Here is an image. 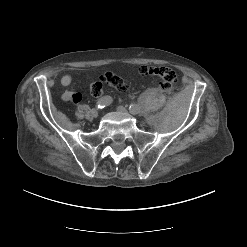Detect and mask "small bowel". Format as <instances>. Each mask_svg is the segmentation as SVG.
<instances>
[{
    "instance_id": "1",
    "label": "small bowel",
    "mask_w": 247,
    "mask_h": 247,
    "mask_svg": "<svg viewBox=\"0 0 247 247\" xmlns=\"http://www.w3.org/2000/svg\"><path fill=\"white\" fill-rule=\"evenodd\" d=\"M72 82V77L68 74L64 75L61 77L60 83L62 86L67 87L71 84ZM62 99L65 101H73L75 103H78L81 101L82 96L80 93H75L72 91H65L62 94Z\"/></svg>"
}]
</instances>
